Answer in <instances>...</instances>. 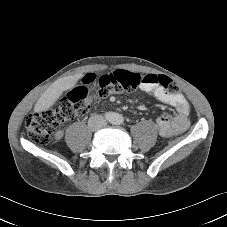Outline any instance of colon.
Wrapping results in <instances>:
<instances>
[{"mask_svg":"<svg viewBox=\"0 0 227 227\" xmlns=\"http://www.w3.org/2000/svg\"><path fill=\"white\" fill-rule=\"evenodd\" d=\"M95 76L96 83L91 87L78 86L62 98L56 107L31 113L27 117L25 127L34 142L39 145L48 144L56 128L85 114L94 100L122 92H131L143 84L160 85L173 94L179 90L177 84L164 75L142 76L127 70H116Z\"/></svg>","mask_w":227,"mask_h":227,"instance_id":"obj_1","label":"colon"}]
</instances>
